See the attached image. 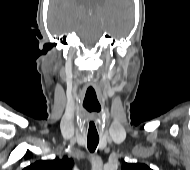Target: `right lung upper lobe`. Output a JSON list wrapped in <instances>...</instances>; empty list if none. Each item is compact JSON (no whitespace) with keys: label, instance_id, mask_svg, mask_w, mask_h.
Masks as SVG:
<instances>
[{"label":"right lung upper lobe","instance_id":"obj_1","mask_svg":"<svg viewBox=\"0 0 190 170\" xmlns=\"http://www.w3.org/2000/svg\"><path fill=\"white\" fill-rule=\"evenodd\" d=\"M73 164V160L65 156L62 159L37 161L23 170H72Z\"/></svg>","mask_w":190,"mask_h":170}]
</instances>
